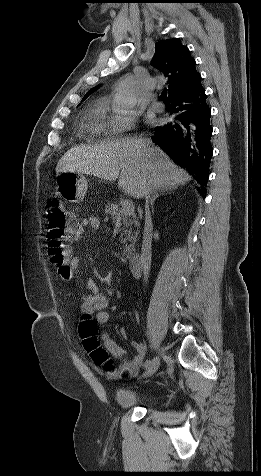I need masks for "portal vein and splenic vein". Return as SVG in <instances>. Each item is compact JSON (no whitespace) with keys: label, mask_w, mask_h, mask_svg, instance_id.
<instances>
[{"label":"portal vein and splenic vein","mask_w":261,"mask_h":476,"mask_svg":"<svg viewBox=\"0 0 261 476\" xmlns=\"http://www.w3.org/2000/svg\"><path fill=\"white\" fill-rule=\"evenodd\" d=\"M121 206L123 215H131L134 213L135 208L131 200H124Z\"/></svg>","instance_id":"1"}]
</instances>
